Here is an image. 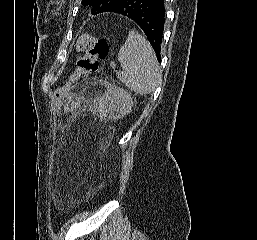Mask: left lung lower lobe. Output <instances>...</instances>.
<instances>
[{
	"label": "left lung lower lobe",
	"instance_id": "0a47b994",
	"mask_svg": "<svg viewBox=\"0 0 257 240\" xmlns=\"http://www.w3.org/2000/svg\"><path fill=\"white\" fill-rule=\"evenodd\" d=\"M106 12H114L134 21L147 36L160 62L165 24L164 0H121Z\"/></svg>",
	"mask_w": 257,
	"mask_h": 240
}]
</instances>
